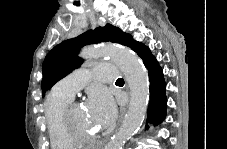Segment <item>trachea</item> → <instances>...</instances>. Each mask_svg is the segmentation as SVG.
<instances>
[{
    "instance_id": "trachea-1",
    "label": "trachea",
    "mask_w": 227,
    "mask_h": 149,
    "mask_svg": "<svg viewBox=\"0 0 227 149\" xmlns=\"http://www.w3.org/2000/svg\"><path fill=\"white\" fill-rule=\"evenodd\" d=\"M116 82H124V80H123V78H119V79H117Z\"/></svg>"
}]
</instances>
